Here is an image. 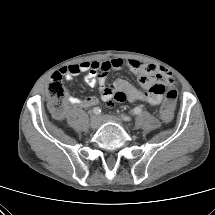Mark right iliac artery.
<instances>
[{"label":"right iliac artery","mask_w":215,"mask_h":215,"mask_svg":"<svg viewBox=\"0 0 215 215\" xmlns=\"http://www.w3.org/2000/svg\"><path fill=\"white\" fill-rule=\"evenodd\" d=\"M93 113H94L95 115H100V114H101V109H100L99 107H95V108L93 109Z\"/></svg>","instance_id":"obj_1"}]
</instances>
